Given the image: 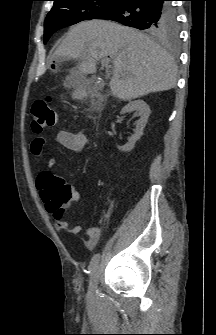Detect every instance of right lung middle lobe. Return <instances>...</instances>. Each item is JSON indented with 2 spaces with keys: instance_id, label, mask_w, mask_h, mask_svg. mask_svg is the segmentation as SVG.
I'll use <instances>...</instances> for the list:
<instances>
[{
  "instance_id": "right-lung-middle-lobe-1",
  "label": "right lung middle lobe",
  "mask_w": 216,
  "mask_h": 335,
  "mask_svg": "<svg viewBox=\"0 0 216 335\" xmlns=\"http://www.w3.org/2000/svg\"><path fill=\"white\" fill-rule=\"evenodd\" d=\"M54 5L44 23V43L57 30L76 24L83 20L95 19L105 12L117 0H53ZM174 10V9H173ZM173 11L170 15H172ZM152 34V33H151ZM154 36L175 39L178 36V25L167 24Z\"/></svg>"
}]
</instances>
